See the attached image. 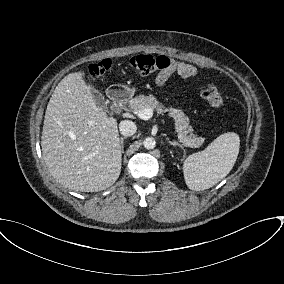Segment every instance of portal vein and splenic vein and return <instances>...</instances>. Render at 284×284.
Listing matches in <instances>:
<instances>
[{
	"instance_id": "obj_1",
	"label": "portal vein and splenic vein",
	"mask_w": 284,
	"mask_h": 284,
	"mask_svg": "<svg viewBox=\"0 0 284 284\" xmlns=\"http://www.w3.org/2000/svg\"><path fill=\"white\" fill-rule=\"evenodd\" d=\"M135 114H137V116L142 120H148L152 118L153 116V109L145 108V109L135 112Z\"/></svg>"
}]
</instances>
